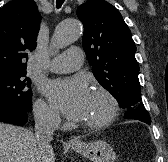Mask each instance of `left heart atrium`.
<instances>
[{"instance_id": "39dd6f15", "label": "left heart atrium", "mask_w": 168, "mask_h": 162, "mask_svg": "<svg viewBox=\"0 0 168 162\" xmlns=\"http://www.w3.org/2000/svg\"><path fill=\"white\" fill-rule=\"evenodd\" d=\"M46 93L52 103L68 118L83 120L91 93L80 76L50 82Z\"/></svg>"}]
</instances>
